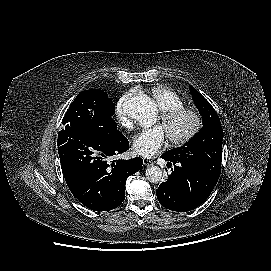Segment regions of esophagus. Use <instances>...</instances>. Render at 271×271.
<instances>
[{"instance_id":"obj_1","label":"esophagus","mask_w":271,"mask_h":271,"mask_svg":"<svg viewBox=\"0 0 271 271\" xmlns=\"http://www.w3.org/2000/svg\"><path fill=\"white\" fill-rule=\"evenodd\" d=\"M143 164L147 167L154 165L153 161H151L147 158H143Z\"/></svg>"}]
</instances>
